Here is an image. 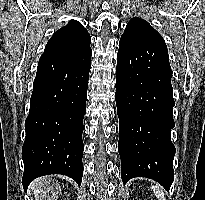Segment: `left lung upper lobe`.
<instances>
[{
  "mask_svg": "<svg viewBox=\"0 0 205 200\" xmlns=\"http://www.w3.org/2000/svg\"><path fill=\"white\" fill-rule=\"evenodd\" d=\"M120 41L131 43H164L162 36L146 20L137 17H133L129 21Z\"/></svg>",
  "mask_w": 205,
  "mask_h": 200,
  "instance_id": "1",
  "label": "left lung upper lobe"
}]
</instances>
